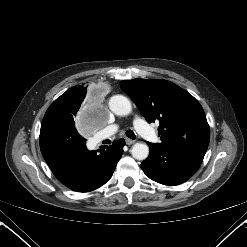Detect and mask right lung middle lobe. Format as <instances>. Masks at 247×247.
Segmentation results:
<instances>
[{
	"label": "right lung middle lobe",
	"instance_id": "dd1d6c3e",
	"mask_svg": "<svg viewBox=\"0 0 247 247\" xmlns=\"http://www.w3.org/2000/svg\"><path fill=\"white\" fill-rule=\"evenodd\" d=\"M81 101L70 95L60 96L46 111L44 118H56L65 122L75 124Z\"/></svg>",
	"mask_w": 247,
	"mask_h": 247
}]
</instances>
